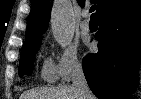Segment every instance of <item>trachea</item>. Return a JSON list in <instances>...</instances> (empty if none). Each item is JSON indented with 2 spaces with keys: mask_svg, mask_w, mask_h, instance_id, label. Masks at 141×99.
I'll list each match as a JSON object with an SVG mask.
<instances>
[{
  "mask_svg": "<svg viewBox=\"0 0 141 99\" xmlns=\"http://www.w3.org/2000/svg\"><path fill=\"white\" fill-rule=\"evenodd\" d=\"M95 9H96V5H93L90 8V13H92L91 14V20H96V16H95V13H94Z\"/></svg>",
  "mask_w": 141,
  "mask_h": 99,
  "instance_id": "1",
  "label": "trachea"
}]
</instances>
